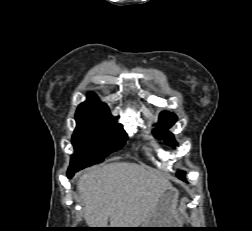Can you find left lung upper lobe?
<instances>
[{
    "instance_id": "obj_1",
    "label": "left lung upper lobe",
    "mask_w": 252,
    "mask_h": 231,
    "mask_svg": "<svg viewBox=\"0 0 252 231\" xmlns=\"http://www.w3.org/2000/svg\"><path fill=\"white\" fill-rule=\"evenodd\" d=\"M177 117L170 112H162L159 117L158 127L153 130L154 136L158 139L164 138V141L170 145H177L174 136L168 129L176 122ZM178 176H184V172H178Z\"/></svg>"
}]
</instances>
